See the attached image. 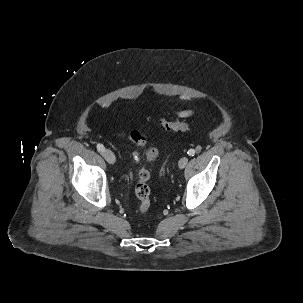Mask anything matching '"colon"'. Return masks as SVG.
<instances>
[{"label": "colon", "mask_w": 303, "mask_h": 303, "mask_svg": "<svg viewBox=\"0 0 303 303\" xmlns=\"http://www.w3.org/2000/svg\"><path fill=\"white\" fill-rule=\"evenodd\" d=\"M158 122L167 130L173 131H188L189 125L175 120L159 119ZM130 140L137 146L144 147L146 145V138L138 131H132L129 134ZM159 156V151L155 147H149L146 150L147 160L155 161ZM150 173L146 168H143L139 172L138 181L135 184L134 192L139 200L138 211L140 214H146L151 206V192L148 186Z\"/></svg>", "instance_id": "1"}]
</instances>
